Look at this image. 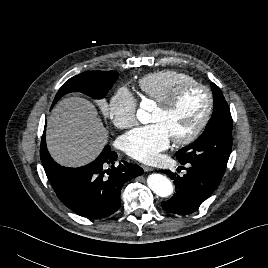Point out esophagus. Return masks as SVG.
<instances>
[{
    "instance_id": "obj_1",
    "label": "esophagus",
    "mask_w": 268,
    "mask_h": 268,
    "mask_svg": "<svg viewBox=\"0 0 268 268\" xmlns=\"http://www.w3.org/2000/svg\"><path fill=\"white\" fill-rule=\"evenodd\" d=\"M143 170H144L145 172H150V171H153L154 169H153L152 167L143 165Z\"/></svg>"
}]
</instances>
